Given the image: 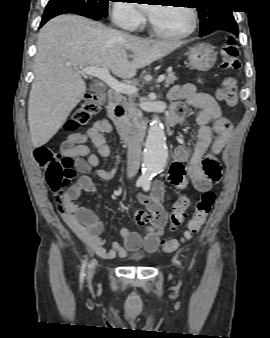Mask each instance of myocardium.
Wrapping results in <instances>:
<instances>
[{"mask_svg": "<svg viewBox=\"0 0 270 338\" xmlns=\"http://www.w3.org/2000/svg\"><path fill=\"white\" fill-rule=\"evenodd\" d=\"M186 6H187L186 8L190 11L191 18H192L191 26L187 31L182 32V33H164V32H161L156 28L153 20L150 17L149 18V26H150V30H151L152 34L155 35L156 37H159V38H162V39H171V40L184 39V38H187L190 35H192L197 28L198 14H197V11L193 7H191L189 5H186Z\"/></svg>", "mask_w": 270, "mask_h": 338, "instance_id": "myocardium-1", "label": "myocardium"}]
</instances>
